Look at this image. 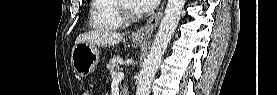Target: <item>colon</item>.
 <instances>
[{"label":"colon","instance_id":"colon-1","mask_svg":"<svg viewBox=\"0 0 277 95\" xmlns=\"http://www.w3.org/2000/svg\"><path fill=\"white\" fill-rule=\"evenodd\" d=\"M85 94H92V93H90V92H87V93H85Z\"/></svg>","mask_w":277,"mask_h":95}]
</instances>
